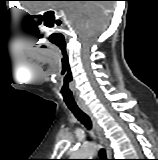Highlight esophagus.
I'll list each match as a JSON object with an SVG mask.
<instances>
[{"label": "esophagus", "mask_w": 158, "mask_h": 160, "mask_svg": "<svg viewBox=\"0 0 158 160\" xmlns=\"http://www.w3.org/2000/svg\"><path fill=\"white\" fill-rule=\"evenodd\" d=\"M80 109L88 115V117L90 118V120L92 121V124L94 126L95 132L101 142V144L103 145V147L106 150V154L107 157L110 159L112 156V151L109 147V143L107 138L104 135L103 129L101 128V126L98 124L97 120L95 119V117L93 116L92 112L89 110V108H87L84 105H79Z\"/></svg>", "instance_id": "1"}]
</instances>
